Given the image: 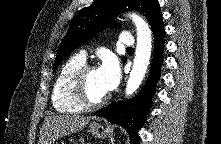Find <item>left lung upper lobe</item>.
<instances>
[{
	"mask_svg": "<svg viewBox=\"0 0 221 144\" xmlns=\"http://www.w3.org/2000/svg\"><path fill=\"white\" fill-rule=\"evenodd\" d=\"M128 10L142 13L151 28L162 17L158 0H97L89 7L81 9L72 19L68 32L58 47L53 70L80 44L101 31L107 25L108 18ZM125 61L126 59L122 58V62Z\"/></svg>",
	"mask_w": 221,
	"mask_h": 144,
	"instance_id": "obj_1",
	"label": "left lung upper lobe"
}]
</instances>
